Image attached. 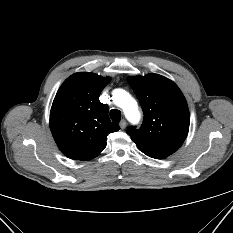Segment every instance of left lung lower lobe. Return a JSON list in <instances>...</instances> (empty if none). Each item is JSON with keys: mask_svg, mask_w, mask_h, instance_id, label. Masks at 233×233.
Returning a JSON list of instances; mask_svg holds the SVG:
<instances>
[{"mask_svg": "<svg viewBox=\"0 0 233 233\" xmlns=\"http://www.w3.org/2000/svg\"><path fill=\"white\" fill-rule=\"evenodd\" d=\"M149 157L155 158V159H163L166 158L169 155L159 154V153H144Z\"/></svg>", "mask_w": 233, "mask_h": 233, "instance_id": "obj_1", "label": "left lung lower lobe"}]
</instances>
